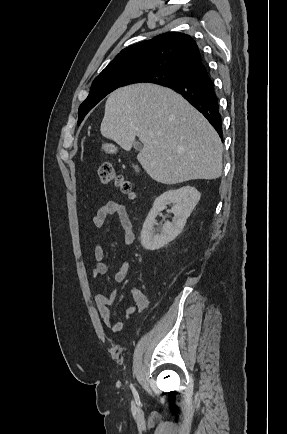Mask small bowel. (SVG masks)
I'll use <instances>...</instances> for the list:
<instances>
[{
	"instance_id": "1",
	"label": "small bowel",
	"mask_w": 287,
	"mask_h": 434,
	"mask_svg": "<svg viewBox=\"0 0 287 434\" xmlns=\"http://www.w3.org/2000/svg\"><path fill=\"white\" fill-rule=\"evenodd\" d=\"M116 215L121 227L123 235V243L125 246H129L134 242L135 235L132 223L129 218L126 207L116 201H109L105 203L92 218V224L96 228L104 226L108 218ZM93 256L95 259V265L92 269V277L99 278L107 273V265L103 261L104 249L98 245L95 247ZM130 264L128 260H125L120 269L114 274V281L117 283L122 282L129 272ZM132 296L134 299L133 305L128 307L125 311L126 315H132L135 313H141L148 307V298L141 289H133ZM117 299V291L113 290L109 294L95 293L93 295V301L99 316L104 323L114 332L119 333L123 324L121 321L113 318L109 306H111Z\"/></svg>"
}]
</instances>
